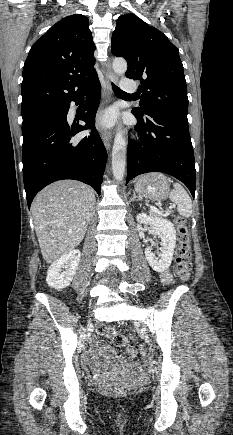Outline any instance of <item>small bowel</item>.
Returning <instances> with one entry per match:
<instances>
[{
  "label": "small bowel",
  "mask_w": 233,
  "mask_h": 435,
  "mask_svg": "<svg viewBox=\"0 0 233 435\" xmlns=\"http://www.w3.org/2000/svg\"><path fill=\"white\" fill-rule=\"evenodd\" d=\"M161 281L164 285H169L172 282V275L169 270H165L161 275ZM125 350L130 358H135L137 355L136 348L131 345H125ZM100 359L109 360L110 364L107 365H101L99 363ZM92 368L95 372L96 376H102L103 374L118 370V371H137L139 373H144L147 369V367L144 364L141 363H126L123 361H120L114 351L107 347L106 345L99 343L97 345V348L93 351L92 357Z\"/></svg>",
  "instance_id": "1"
}]
</instances>
